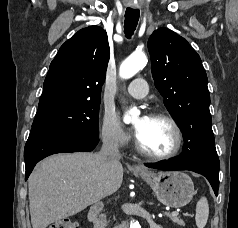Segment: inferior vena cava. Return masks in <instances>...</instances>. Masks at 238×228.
Returning <instances> with one entry per match:
<instances>
[{"label": "inferior vena cava", "mask_w": 238, "mask_h": 228, "mask_svg": "<svg viewBox=\"0 0 238 228\" xmlns=\"http://www.w3.org/2000/svg\"><path fill=\"white\" fill-rule=\"evenodd\" d=\"M99 156L103 160H108L111 162L118 161L121 158L119 153L118 143L113 138H104L103 145L99 152Z\"/></svg>", "instance_id": "inferior-vena-cava-1"}]
</instances>
